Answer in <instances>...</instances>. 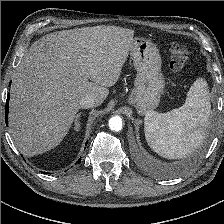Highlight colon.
Instances as JSON below:
<instances>
[{
	"instance_id": "5ec220e1",
	"label": "colon",
	"mask_w": 224,
	"mask_h": 224,
	"mask_svg": "<svg viewBox=\"0 0 224 224\" xmlns=\"http://www.w3.org/2000/svg\"><path fill=\"white\" fill-rule=\"evenodd\" d=\"M169 49L171 54L170 68L176 74H181L189 64L188 48L183 44L172 43Z\"/></svg>"
}]
</instances>
